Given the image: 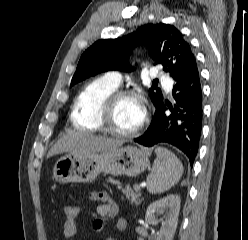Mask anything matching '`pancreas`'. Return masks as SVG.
I'll return each instance as SVG.
<instances>
[{
	"mask_svg": "<svg viewBox=\"0 0 248 240\" xmlns=\"http://www.w3.org/2000/svg\"><path fill=\"white\" fill-rule=\"evenodd\" d=\"M107 182L116 184L118 186V189H122V186L119 181L114 180L112 178H109ZM122 192L124 195H126V198L131 201V203L138 204V199L140 197V188H137L135 185L133 186V189L130 188L129 185H127L124 189H122Z\"/></svg>",
	"mask_w": 248,
	"mask_h": 240,
	"instance_id": "pancreas-1",
	"label": "pancreas"
}]
</instances>
